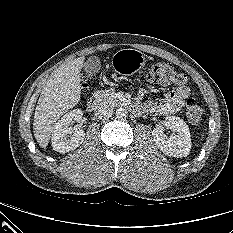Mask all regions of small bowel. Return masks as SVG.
<instances>
[{
	"label": "small bowel",
	"instance_id": "1",
	"mask_svg": "<svg viewBox=\"0 0 233 233\" xmlns=\"http://www.w3.org/2000/svg\"><path fill=\"white\" fill-rule=\"evenodd\" d=\"M189 95V87L182 85L176 90L167 92L162 102H156L153 100L147 101L142 106V110L152 115L174 114L182 108Z\"/></svg>",
	"mask_w": 233,
	"mask_h": 233
}]
</instances>
